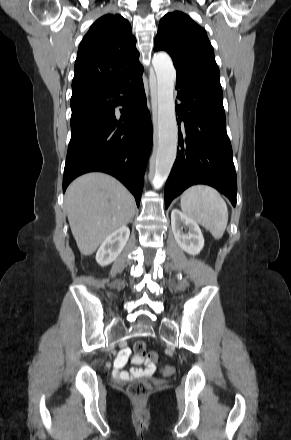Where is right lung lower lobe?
<instances>
[{
	"label": "right lung lower lobe",
	"mask_w": 291,
	"mask_h": 440,
	"mask_svg": "<svg viewBox=\"0 0 291 440\" xmlns=\"http://www.w3.org/2000/svg\"><path fill=\"white\" fill-rule=\"evenodd\" d=\"M142 72L112 88L72 95L63 191L77 176L101 171L120 180L139 206L152 148ZM119 105L120 118L114 109Z\"/></svg>",
	"instance_id": "98d812e1"
}]
</instances>
